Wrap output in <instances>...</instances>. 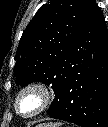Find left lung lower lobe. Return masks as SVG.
<instances>
[{
  "label": "left lung lower lobe",
  "mask_w": 108,
  "mask_h": 127,
  "mask_svg": "<svg viewBox=\"0 0 108 127\" xmlns=\"http://www.w3.org/2000/svg\"><path fill=\"white\" fill-rule=\"evenodd\" d=\"M63 71L48 114L82 127H108V32L95 0L87 5Z\"/></svg>",
  "instance_id": "left-lung-lower-lobe-1"
}]
</instances>
